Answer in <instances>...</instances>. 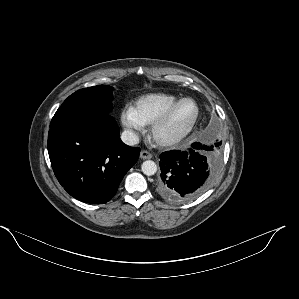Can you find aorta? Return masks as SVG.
<instances>
[{
	"instance_id": "aorta-1",
	"label": "aorta",
	"mask_w": 299,
	"mask_h": 299,
	"mask_svg": "<svg viewBox=\"0 0 299 299\" xmlns=\"http://www.w3.org/2000/svg\"><path fill=\"white\" fill-rule=\"evenodd\" d=\"M142 172L147 176H152L157 172V165L152 160H147L142 163Z\"/></svg>"
}]
</instances>
